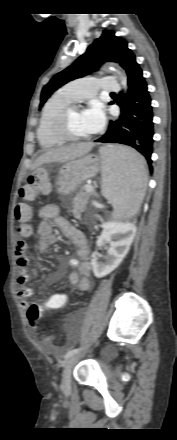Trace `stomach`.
<instances>
[{"label":"stomach","mask_w":177,"mask_h":440,"mask_svg":"<svg viewBox=\"0 0 177 440\" xmlns=\"http://www.w3.org/2000/svg\"><path fill=\"white\" fill-rule=\"evenodd\" d=\"M102 158L95 155H84L64 164L56 179L57 192L68 195L74 192L84 181L95 177L102 170ZM41 169H36L37 174Z\"/></svg>","instance_id":"stomach-1"}]
</instances>
